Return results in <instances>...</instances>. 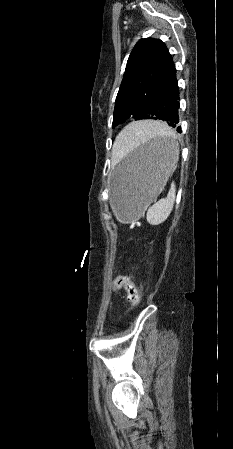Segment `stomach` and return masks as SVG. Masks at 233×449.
Segmentation results:
<instances>
[{"label": "stomach", "mask_w": 233, "mask_h": 449, "mask_svg": "<svg viewBox=\"0 0 233 449\" xmlns=\"http://www.w3.org/2000/svg\"><path fill=\"white\" fill-rule=\"evenodd\" d=\"M177 155L175 140L162 137L158 142H148L116 166L111 203L120 222L140 218L163 190Z\"/></svg>", "instance_id": "0dacf381"}]
</instances>
